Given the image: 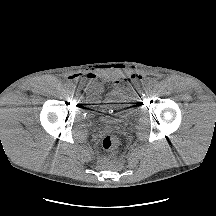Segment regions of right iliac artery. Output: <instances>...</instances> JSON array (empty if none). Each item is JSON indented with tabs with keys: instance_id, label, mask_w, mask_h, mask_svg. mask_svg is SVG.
Returning a JSON list of instances; mask_svg holds the SVG:
<instances>
[{
	"instance_id": "obj_1",
	"label": "right iliac artery",
	"mask_w": 216,
	"mask_h": 216,
	"mask_svg": "<svg viewBox=\"0 0 216 216\" xmlns=\"http://www.w3.org/2000/svg\"><path fill=\"white\" fill-rule=\"evenodd\" d=\"M73 87L72 86H67V91H72Z\"/></svg>"
}]
</instances>
